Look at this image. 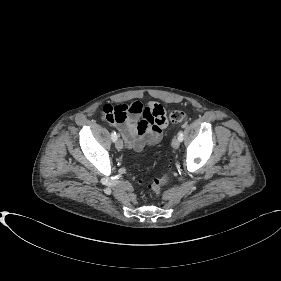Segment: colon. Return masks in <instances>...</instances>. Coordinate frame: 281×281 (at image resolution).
I'll return each instance as SVG.
<instances>
[{
	"mask_svg": "<svg viewBox=\"0 0 281 281\" xmlns=\"http://www.w3.org/2000/svg\"><path fill=\"white\" fill-rule=\"evenodd\" d=\"M139 111V103L134 102L131 105L121 104L117 106L107 105L103 109L104 117L112 122L121 123L124 122L128 114L131 112ZM170 121L173 124H179L183 122L186 118V114L183 111L175 110L170 113ZM170 181V176L165 175L162 178L154 179L150 184L149 188L159 196L162 192L164 186H166Z\"/></svg>",
	"mask_w": 281,
	"mask_h": 281,
	"instance_id": "5ec220e1",
	"label": "colon"
}]
</instances>
